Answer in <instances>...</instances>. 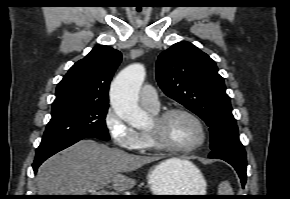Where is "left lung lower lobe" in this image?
Segmentation results:
<instances>
[{"label": "left lung lower lobe", "instance_id": "1", "mask_svg": "<svg viewBox=\"0 0 290 199\" xmlns=\"http://www.w3.org/2000/svg\"><path fill=\"white\" fill-rule=\"evenodd\" d=\"M209 158L222 159L231 164L237 171L241 179L242 187H244L247 178L246 175L247 160L243 146H232L212 151L209 155Z\"/></svg>", "mask_w": 290, "mask_h": 199}]
</instances>
